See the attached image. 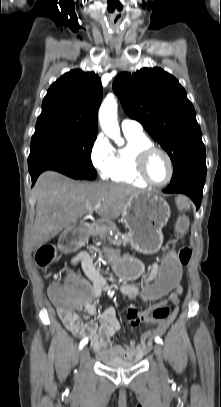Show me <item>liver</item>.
I'll list each match as a JSON object with an SVG mask.
<instances>
[{
	"mask_svg": "<svg viewBox=\"0 0 221 407\" xmlns=\"http://www.w3.org/2000/svg\"><path fill=\"white\" fill-rule=\"evenodd\" d=\"M141 192L125 184L80 183L55 171L44 172L34 186L37 204L30 244L41 247L99 202L102 205L98 215L108 222L116 219L123 213L128 198Z\"/></svg>",
	"mask_w": 221,
	"mask_h": 407,
	"instance_id": "liver-1",
	"label": "liver"
}]
</instances>
